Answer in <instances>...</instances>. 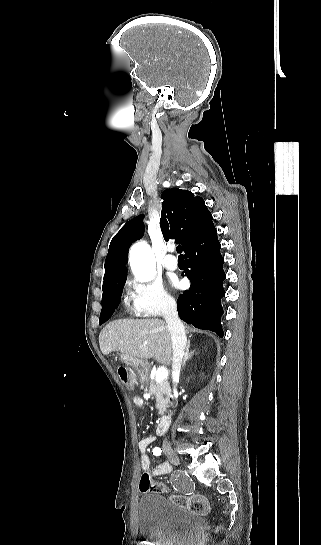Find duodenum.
Returning a JSON list of instances; mask_svg holds the SVG:
<instances>
[{
  "label": "duodenum",
  "instance_id": "obj_1",
  "mask_svg": "<svg viewBox=\"0 0 321 545\" xmlns=\"http://www.w3.org/2000/svg\"><path fill=\"white\" fill-rule=\"evenodd\" d=\"M170 421H171L170 416H163L160 418L157 425V430H156L158 435H164L167 432Z\"/></svg>",
  "mask_w": 321,
  "mask_h": 545
}]
</instances>
